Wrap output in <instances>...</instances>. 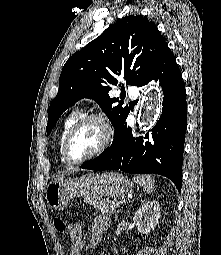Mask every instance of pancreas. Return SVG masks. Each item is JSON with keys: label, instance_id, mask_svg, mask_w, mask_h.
<instances>
[{"label": "pancreas", "instance_id": "1", "mask_svg": "<svg viewBox=\"0 0 221 255\" xmlns=\"http://www.w3.org/2000/svg\"><path fill=\"white\" fill-rule=\"evenodd\" d=\"M120 203L121 202L116 199L111 200L107 198V199H96L92 201L90 204L97 210H100L102 214L111 215L116 212L115 209L116 207L120 205Z\"/></svg>", "mask_w": 221, "mask_h": 255}]
</instances>
